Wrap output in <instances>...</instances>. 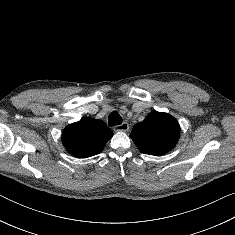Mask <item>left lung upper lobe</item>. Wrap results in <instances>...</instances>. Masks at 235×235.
<instances>
[{"label": "left lung upper lobe", "mask_w": 235, "mask_h": 235, "mask_svg": "<svg viewBox=\"0 0 235 235\" xmlns=\"http://www.w3.org/2000/svg\"><path fill=\"white\" fill-rule=\"evenodd\" d=\"M130 137L142 153L159 156L174 148L180 126L170 114L152 111L133 127Z\"/></svg>", "instance_id": "obj_1"}]
</instances>
